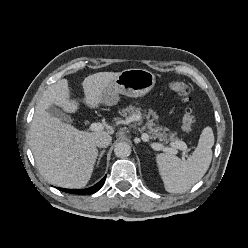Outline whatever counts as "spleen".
Returning <instances> with one entry per match:
<instances>
[{"instance_id":"3e777b00","label":"spleen","mask_w":248,"mask_h":248,"mask_svg":"<svg viewBox=\"0 0 248 248\" xmlns=\"http://www.w3.org/2000/svg\"><path fill=\"white\" fill-rule=\"evenodd\" d=\"M213 145L214 134L212 128L207 126L200 135L196 149L187 160H181L175 155L158 154L157 167L166 191L184 193L200 181L210 166Z\"/></svg>"}]
</instances>
